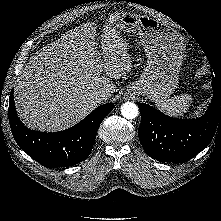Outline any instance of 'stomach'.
<instances>
[{"label": "stomach", "instance_id": "stomach-1", "mask_svg": "<svg viewBox=\"0 0 221 221\" xmlns=\"http://www.w3.org/2000/svg\"><path fill=\"white\" fill-rule=\"evenodd\" d=\"M115 24L123 34L137 31L147 57L142 75L127 87L126 95H143L155 102L169 98L178 85L183 37L168 24L131 12L120 13Z\"/></svg>", "mask_w": 221, "mask_h": 221}]
</instances>
